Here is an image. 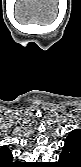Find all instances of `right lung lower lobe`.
Returning a JSON list of instances; mask_svg holds the SVG:
<instances>
[{
	"mask_svg": "<svg viewBox=\"0 0 81 167\" xmlns=\"http://www.w3.org/2000/svg\"><path fill=\"white\" fill-rule=\"evenodd\" d=\"M19 166H21L19 163L14 162V163L8 165L7 167H19Z\"/></svg>",
	"mask_w": 81,
	"mask_h": 167,
	"instance_id": "obj_1",
	"label": "right lung lower lobe"
}]
</instances>
